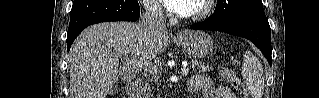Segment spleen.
Masks as SVG:
<instances>
[{"instance_id": "spleen-1", "label": "spleen", "mask_w": 319, "mask_h": 98, "mask_svg": "<svg viewBox=\"0 0 319 98\" xmlns=\"http://www.w3.org/2000/svg\"><path fill=\"white\" fill-rule=\"evenodd\" d=\"M242 76L252 98H262L264 91L263 68L257 57L250 51L244 54Z\"/></svg>"}]
</instances>
